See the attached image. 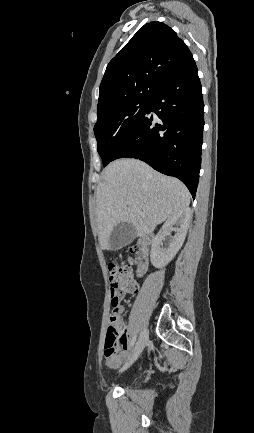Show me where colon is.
Listing matches in <instances>:
<instances>
[{
	"label": "colon",
	"instance_id": "5ec220e1",
	"mask_svg": "<svg viewBox=\"0 0 254 433\" xmlns=\"http://www.w3.org/2000/svg\"><path fill=\"white\" fill-rule=\"evenodd\" d=\"M108 270L110 275L112 310L109 315L105 354L112 355L116 352L117 346L120 345L125 329L120 319L119 300L115 292L133 293L137 290V284L133 279L131 266L126 263L110 262Z\"/></svg>",
	"mask_w": 254,
	"mask_h": 433
}]
</instances>
